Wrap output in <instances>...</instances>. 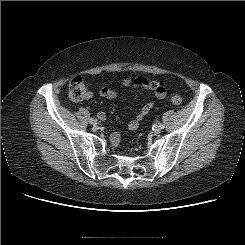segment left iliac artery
<instances>
[{"mask_svg": "<svg viewBox=\"0 0 245 245\" xmlns=\"http://www.w3.org/2000/svg\"><path fill=\"white\" fill-rule=\"evenodd\" d=\"M159 126L161 127V129H163L165 126L164 124L160 123Z\"/></svg>", "mask_w": 245, "mask_h": 245, "instance_id": "44dca946", "label": "left iliac artery"}]
</instances>
